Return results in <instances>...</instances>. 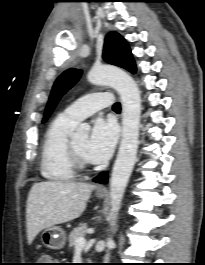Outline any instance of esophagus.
<instances>
[{
	"mask_svg": "<svg viewBox=\"0 0 205 265\" xmlns=\"http://www.w3.org/2000/svg\"><path fill=\"white\" fill-rule=\"evenodd\" d=\"M98 192L105 191V188L103 186H98L96 189Z\"/></svg>",
	"mask_w": 205,
	"mask_h": 265,
	"instance_id": "obj_1",
	"label": "esophagus"
}]
</instances>
